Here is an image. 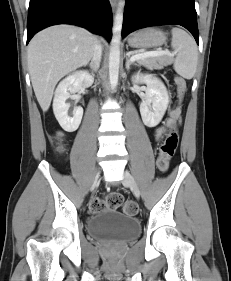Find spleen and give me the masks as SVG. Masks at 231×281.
Wrapping results in <instances>:
<instances>
[{"mask_svg": "<svg viewBox=\"0 0 231 281\" xmlns=\"http://www.w3.org/2000/svg\"><path fill=\"white\" fill-rule=\"evenodd\" d=\"M171 46L177 56L174 60V70L185 79H192L198 62V48L192 36L180 28L172 29Z\"/></svg>", "mask_w": 231, "mask_h": 281, "instance_id": "1", "label": "spleen"}]
</instances>
